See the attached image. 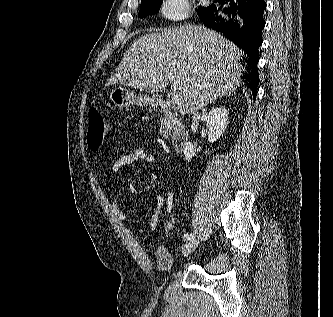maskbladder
Listing matches in <instances>:
<instances>
[{
  "label": "bladder",
  "mask_w": 333,
  "mask_h": 317,
  "mask_svg": "<svg viewBox=\"0 0 333 317\" xmlns=\"http://www.w3.org/2000/svg\"><path fill=\"white\" fill-rule=\"evenodd\" d=\"M154 259L157 268L164 273L170 272L173 269L174 261L170 251L163 246H159L155 249Z\"/></svg>",
  "instance_id": "31cf9c89"
}]
</instances>
